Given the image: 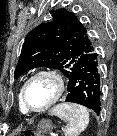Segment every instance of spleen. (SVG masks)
I'll return each mask as SVG.
<instances>
[{"mask_svg": "<svg viewBox=\"0 0 117 136\" xmlns=\"http://www.w3.org/2000/svg\"><path fill=\"white\" fill-rule=\"evenodd\" d=\"M50 113L67 122L65 136H78L89 124V112L79 104L62 103L56 105Z\"/></svg>", "mask_w": 117, "mask_h": 136, "instance_id": "obj_1", "label": "spleen"}]
</instances>
